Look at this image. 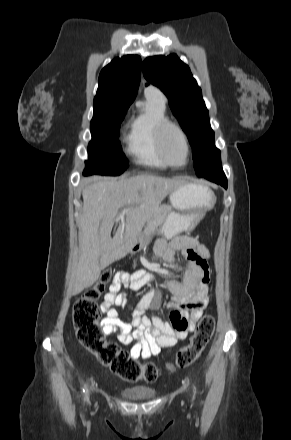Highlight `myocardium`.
<instances>
[{"label": "myocardium", "instance_id": "obj_1", "mask_svg": "<svg viewBox=\"0 0 291 440\" xmlns=\"http://www.w3.org/2000/svg\"><path fill=\"white\" fill-rule=\"evenodd\" d=\"M169 130H175L176 132H178L184 142V146L186 150V160L183 164L173 163L172 161H170V159L166 154L165 137ZM155 137H156L158 153L167 166H171L175 168H183L188 164L191 153L190 144L186 132L180 125H178L175 122L166 120L157 126L155 131Z\"/></svg>", "mask_w": 291, "mask_h": 440}]
</instances>
